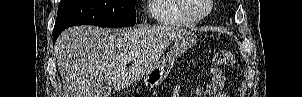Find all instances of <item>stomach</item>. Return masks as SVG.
<instances>
[{"mask_svg":"<svg viewBox=\"0 0 302 97\" xmlns=\"http://www.w3.org/2000/svg\"><path fill=\"white\" fill-rule=\"evenodd\" d=\"M197 37L192 32H183L174 38L173 48L144 75L145 85L155 87L170 73L175 59L196 43Z\"/></svg>","mask_w":302,"mask_h":97,"instance_id":"obj_1","label":"stomach"}]
</instances>
